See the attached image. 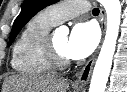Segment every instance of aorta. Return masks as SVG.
<instances>
[{
	"label": "aorta",
	"instance_id": "aorta-1",
	"mask_svg": "<svg viewBox=\"0 0 127 92\" xmlns=\"http://www.w3.org/2000/svg\"><path fill=\"white\" fill-rule=\"evenodd\" d=\"M107 15L105 39L96 61L89 92H104L110 74L121 22L120 0H99ZM60 30H66L60 27Z\"/></svg>",
	"mask_w": 127,
	"mask_h": 92
}]
</instances>
